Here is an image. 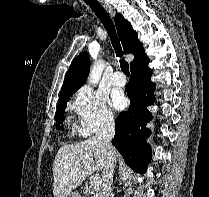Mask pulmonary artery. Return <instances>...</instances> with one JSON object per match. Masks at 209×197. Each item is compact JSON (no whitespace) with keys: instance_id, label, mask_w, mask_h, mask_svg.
Masks as SVG:
<instances>
[{"instance_id":"pulmonary-artery-1","label":"pulmonary artery","mask_w":209,"mask_h":197,"mask_svg":"<svg viewBox=\"0 0 209 197\" xmlns=\"http://www.w3.org/2000/svg\"><path fill=\"white\" fill-rule=\"evenodd\" d=\"M111 83L116 87H123L126 85L127 80L126 77L122 74V72L117 71L113 74Z\"/></svg>"}]
</instances>
